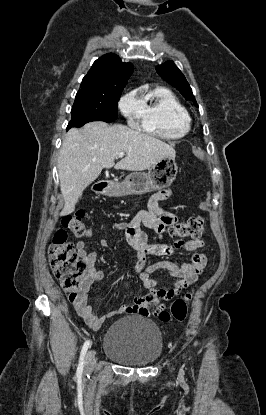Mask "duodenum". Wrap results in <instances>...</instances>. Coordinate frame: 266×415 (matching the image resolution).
I'll return each instance as SVG.
<instances>
[{
  "mask_svg": "<svg viewBox=\"0 0 266 415\" xmlns=\"http://www.w3.org/2000/svg\"><path fill=\"white\" fill-rule=\"evenodd\" d=\"M109 187V183L107 181H99L94 185V191L97 194H104Z\"/></svg>",
  "mask_w": 266,
  "mask_h": 415,
  "instance_id": "1",
  "label": "duodenum"
}]
</instances>
